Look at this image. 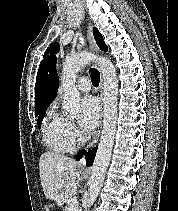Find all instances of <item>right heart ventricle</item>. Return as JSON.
Instances as JSON below:
<instances>
[{"label":"right heart ventricle","instance_id":"obj_1","mask_svg":"<svg viewBox=\"0 0 178 211\" xmlns=\"http://www.w3.org/2000/svg\"><path fill=\"white\" fill-rule=\"evenodd\" d=\"M68 120L52 109L42 129L43 141L47 148L57 153L68 152L73 147V142L67 134Z\"/></svg>","mask_w":178,"mask_h":211}]
</instances>
